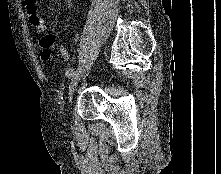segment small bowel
<instances>
[{"mask_svg": "<svg viewBox=\"0 0 221 174\" xmlns=\"http://www.w3.org/2000/svg\"><path fill=\"white\" fill-rule=\"evenodd\" d=\"M25 12L38 33H43L46 30V24L43 18L38 13L37 0H23ZM40 44L42 46L41 57L44 61L52 59V48L55 44L54 34H44L41 37ZM61 55L65 61H69L70 55L67 50L61 49Z\"/></svg>", "mask_w": 221, "mask_h": 174, "instance_id": "c3829d8e", "label": "small bowel"}]
</instances>
